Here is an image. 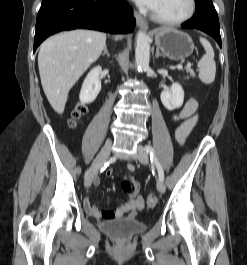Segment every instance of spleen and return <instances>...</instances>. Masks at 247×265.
I'll use <instances>...</instances> for the list:
<instances>
[{
  "label": "spleen",
  "instance_id": "obj_1",
  "mask_svg": "<svg viewBox=\"0 0 247 265\" xmlns=\"http://www.w3.org/2000/svg\"><path fill=\"white\" fill-rule=\"evenodd\" d=\"M200 42L205 49V55L200 59L197 66L199 79L205 84H211L215 79L216 64L214 61V50L209 41L200 37Z\"/></svg>",
  "mask_w": 247,
  "mask_h": 265
}]
</instances>
